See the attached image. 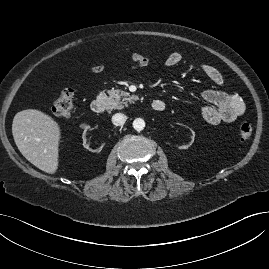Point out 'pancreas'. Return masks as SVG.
<instances>
[{
  "label": "pancreas",
  "mask_w": 269,
  "mask_h": 269,
  "mask_svg": "<svg viewBox=\"0 0 269 269\" xmlns=\"http://www.w3.org/2000/svg\"><path fill=\"white\" fill-rule=\"evenodd\" d=\"M109 98L107 107L109 109H123L124 106H128L129 103H132L134 100H137V97L130 95L128 92L122 90H110L108 91Z\"/></svg>",
  "instance_id": "pancreas-1"
}]
</instances>
